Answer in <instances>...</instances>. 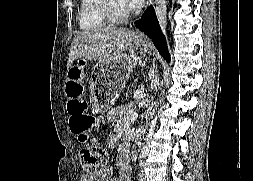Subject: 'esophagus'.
I'll return each instance as SVG.
<instances>
[{"label": "esophagus", "instance_id": "obj_1", "mask_svg": "<svg viewBox=\"0 0 253 181\" xmlns=\"http://www.w3.org/2000/svg\"><path fill=\"white\" fill-rule=\"evenodd\" d=\"M150 3H151V0H148L147 6L150 5ZM137 36H138L140 39L146 40V37H145V36L143 35V33H141V32L137 33Z\"/></svg>", "mask_w": 253, "mask_h": 181}]
</instances>
